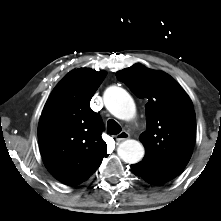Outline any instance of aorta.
<instances>
[{"mask_svg": "<svg viewBox=\"0 0 221 221\" xmlns=\"http://www.w3.org/2000/svg\"><path fill=\"white\" fill-rule=\"evenodd\" d=\"M104 104L109 112L121 120H131L136 114L134 100L123 88L111 86L104 92ZM145 150L136 140H125L118 147L119 157L126 163L135 164L142 160Z\"/></svg>", "mask_w": 221, "mask_h": 221, "instance_id": "762f6f07", "label": "aorta"}]
</instances>
